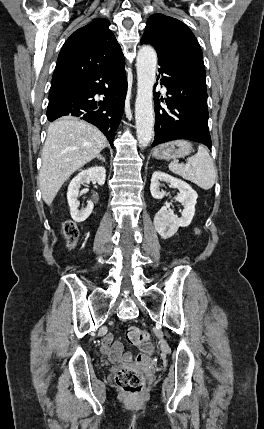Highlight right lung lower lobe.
<instances>
[{
  "instance_id": "98d812e1",
  "label": "right lung lower lobe",
  "mask_w": 264,
  "mask_h": 429,
  "mask_svg": "<svg viewBox=\"0 0 264 429\" xmlns=\"http://www.w3.org/2000/svg\"><path fill=\"white\" fill-rule=\"evenodd\" d=\"M124 64L122 54L90 76L49 96L48 120L67 115L80 117L97 126L113 147L127 92ZM97 93L105 95L103 101L94 99Z\"/></svg>"
}]
</instances>
